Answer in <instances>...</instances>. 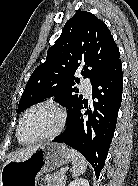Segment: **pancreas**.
Listing matches in <instances>:
<instances>
[{
	"label": "pancreas",
	"instance_id": "pancreas-1",
	"mask_svg": "<svg viewBox=\"0 0 138 186\" xmlns=\"http://www.w3.org/2000/svg\"><path fill=\"white\" fill-rule=\"evenodd\" d=\"M44 181L47 182V186H65V176H62L60 172H55L52 175L47 174Z\"/></svg>",
	"mask_w": 138,
	"mask_h": 186
}]
</instances>
